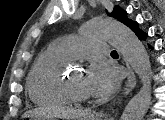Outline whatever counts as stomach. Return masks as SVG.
<instances>
[{"instance_id":"stomach-1","label":"stomach","mask_w":165,"mask_h":120,"mask_svg":"<svg viewBox=\"0 0 165 120\" xmlns=\"http://www.w3.org/2000/svg\"><path fill=\"white\" fill-rule=\"evenodd\" d=\"M39 119H41V118H39V117H34V118L31 119V120H39ZM80 120H101V119H99V117L96 116V115H94V114H89V115H87V116H85V117H83V118H80Z\"/></svg>"}]
</instances>
